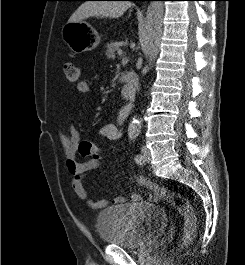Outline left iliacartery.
<instances>
[{"instance_id": "left-iliac-artery-1", "label": "left iliac artery", "mask_w": 245, "mask_h": 265, "mask_svg": "<svg viewBox=\"0 0 245 265\" xmlns=\"http://www.w3.org/2000/svg\"><path fill=\"white\" fill-rule=\"evenodd\" d=\"M130 139L131 140H135L138 136V133H130ZM135 161L136 163H142L143 162V158H142V155L138 154L135 156Z\"/></svg>"}]
</instances>
